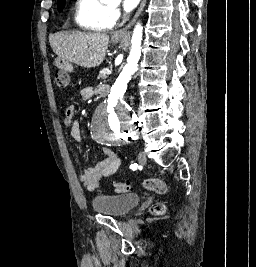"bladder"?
I'll use <instances>...</instances> for the list:
<instances>
[{
    "mask_svg": "<svg viewBox=\"0 0 256 267\" xmlns=\"http://www.w3.org/2000/svg\"><path fill=\"white\" fill-rule=\"evenodd\" d=\"M141 200L140 195H99L93 201V209L101 211L104 215L123 216L140 204Z\"/></svg>",
    "mask_w": 256,
    "mask_h": 267,
    "instance_id": "1",
    "label": "bladder"
}]
</instances>
